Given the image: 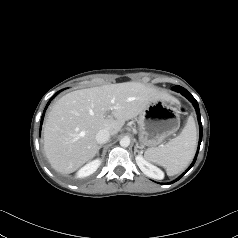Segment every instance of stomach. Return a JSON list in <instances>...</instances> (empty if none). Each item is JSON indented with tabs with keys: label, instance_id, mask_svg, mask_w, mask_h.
<instances>
[{
	"label": "stomach",
	"instance_id": "0dacf381",
	"mask_svg": "<svg viewBox=\"0 0 238 238\" xmlns=\"http://www.w3.org/2000/svg\"><path fill=\"white\" fill-rule=\"evenodd\" d=\"M141 145L155 147L173 135L180 127L178 110L165 100L151 102L138 118Z\"/></svg>",
	"mask_w": 238,
	"mask_h": 238
}]
</instances>
